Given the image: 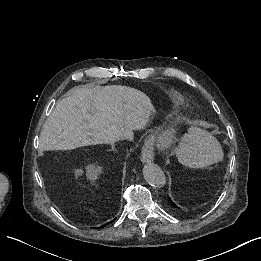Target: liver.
<instances>
[{
    "label": "liver",
    "mask_w": 261,
    "mask_h": 261,
    "mask_svg": "<svg viewBox=\"0 0 261 261\" xmlns=\"http://www.w3.org/2000/svg\"><path fill=\"white\" fill-rule=\"evenodd\" d=\"M154 109L141 91L121 86L78 87L59 100L40 136L45 150H74L132 139L151 124Z\"/></svg>",
    "instance_id": "6515ba94"
}]
</instances>
